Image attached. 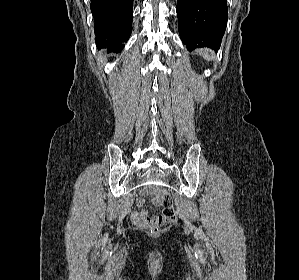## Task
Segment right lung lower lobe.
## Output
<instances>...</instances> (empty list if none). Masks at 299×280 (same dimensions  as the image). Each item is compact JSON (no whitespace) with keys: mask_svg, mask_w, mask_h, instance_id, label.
<instances>
[{"mask_svg":"<svg viewBox=\"0 0 299 280\" xmlns=\"http://www.w3.org/2000/svg\"><path fill=\"white\" fill-rule=\"evenodd\" d=\"M97 47L118 53L132 31L133 0H91Z\"/></svg>","mask_w":299,"mask_h":280,"instance_id":"1","label":"right lung lower lobe"}]
</instances>
